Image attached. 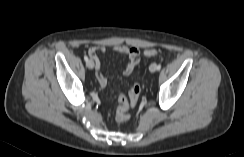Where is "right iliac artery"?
<instances>
[{"instance_id": "obj_1", "label": "right iliac artery", "mask_w": 244, "mask_h": 157, "mask_svg": "<svg viewBox=\"0 0 244 157\" xmlns=\"http://www.w3.org/2000/svg\"><path fill=\"white\" fill-rule=\"evenodd\" d=\"M84 60L87 62L88 61V57L86 55H84Z\"/></svg>"}]
</instances>
